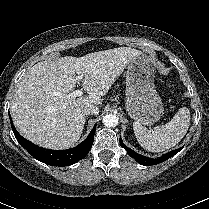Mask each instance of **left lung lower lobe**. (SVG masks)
I'll return each instance as SVG.
<instances>
[{
  "instance_id": "1",
  "label": "left lung lower lobe",
  "mask_w": 209,
  "mask_h": 209,
  "mask_svg": "<svg viewBox=\"0 0 209 209\" xmlns=\"http://www.w3.org/2000/svg\"><path fill=\"white\" fill-rule=\"evenodd\" d=\"M120 145L121 147L125 148L127 150V153L133 157L134 159H136L141 165L144 166H150V165H155V164H159L161 162L166 161L167 159L171 158L172 156H174L175 154H177L179 151H181L183 149V147L176 149V150H172L166 154H164L162 157H160L159 159H152V158H148L145 156H142L138 153H136L135 151H133L132 149L128 148L127 146H125L120 138Z\"/></svg>"
}]
</instances>
